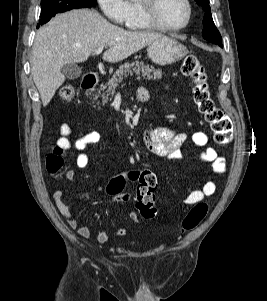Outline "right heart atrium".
<instances>
[{
  "label": "right heart atrium",
  "instance_id": "right-heart-atrium-1",
  "mask_svg": "<svg viewBox=\"0 0 267 301\" xmlns=\"http://www.w3.org/2000/svg\"><path fill=\"white\" fill-rule=\"evenodd\" d=\"M103 14L118 25H126L129 16L127 0H97Z\"/></svg>",
  "mask_w": 267,
  "mask_h": 301
}]
</instances>
